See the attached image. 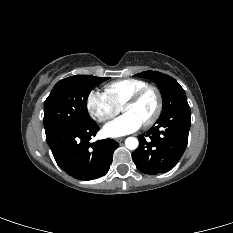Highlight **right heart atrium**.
I'll list each match as a JSON object with an SVG mask.
<instances>
[{
  "label": "right heart atrium",
  "instance_id": "1",
  "mask_svg": "<svg viewBox=\"0 0 233 233\" xmlns=\"http://www.w3.org/2000/svg\"><path fill=\"white\" fill-rule=\"evenodd\" d=\"M86 107L90 116L100 123L112 119L120 108L114 105L104 93L91 91L86 100Z\"/></svg>",
  "mask_w": 233,
  "mask_h": 233
}]
</instances>
